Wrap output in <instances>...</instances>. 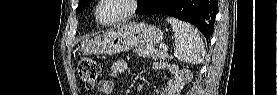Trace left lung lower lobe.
Here are the masks:
<instances>
[{
  "label": "left lung lower lobe",
  "instance_id": "0a47b994",
  "mask_svg": "<svg viewBox=\"0 0 277 95\" xmlns=\"http://www.w3.org/2000/svg\"><path fill=\"white\" fill-rule=\"evenodd\" d=\"M218 0H150L138 14H167L196 26L211 39Z\"/></svg>",
  "mask_w": 277,
  "mask_h": 95
}]
</instances>
